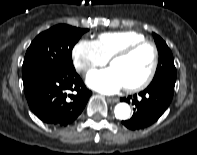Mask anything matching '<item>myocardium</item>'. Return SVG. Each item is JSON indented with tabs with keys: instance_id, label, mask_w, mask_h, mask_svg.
<instances>
[{
	"instance_id": "f54148a6",
	"label": "myocardium",
	"mask_w": 197,
	"mask_h": 155,
	"mask_svg": "<svg viewBox=\"0 0 197 155\" xmlns=\"http://www.w3.org/2000/svg\"><path fill=\"white\" fill-rule=\"evenodd\" d=\"M144 46H149L152 49V52H153L152 66H151L147 76L141 82H139L135 85L125 86V90L127 92H138V91L145 89L146 87H148L150 85V83L154 79V76L156 74L158 64H159L158 48L154 42L149 41V40H144V41H139V42L129 44V45L121 48L120 50L116 51L110 57L109 63H110V65H112V63L115 60L127 57V56L131 55L133 52H135L136 50H138Z\"/></svg>"
}]
</instances>
